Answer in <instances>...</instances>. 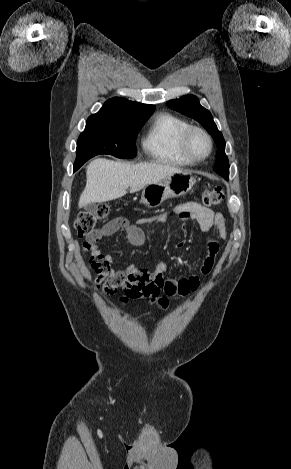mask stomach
Instances as JSON below:
<instances>
[{
	"instance_id": "0dacf381",
	"label": "stomach",
	"mask_w": 291,
	"mask_h": 469,
	"mask_svg": "<svg viewBox=\"0 0 291 469\" xmlns=\"http://www.w3.org/2000/svg\"><path fill=\"white\" fill-rule=\"evenodd\" d=\"M195 183L190 172L175 173L162 181L147 185L142 191L141 202L150 208L158 207L168 198L185 195Z\"/></svg>"
}]
</instances>
